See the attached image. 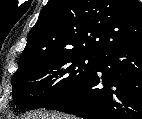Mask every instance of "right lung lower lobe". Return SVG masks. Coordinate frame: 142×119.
I'll return each instance as SVG.
<instances>
[{
  "mask_svg": "<svg viewBox=\"0 0 142 119\" xmlns=\"http://www.w3.org/2000/svg\"><path fill=\"white\" fill-rule=\"evenodd\" d=\"M47 109L84 119H142V40L100 55L95 71Z\"/></svg>",
  "mask_w": 142,
  "mask_h": 119,
  "instance_id": "obj_1",
  "label": "right lung lower lobe"
}]
</instances>
